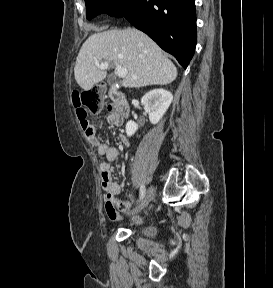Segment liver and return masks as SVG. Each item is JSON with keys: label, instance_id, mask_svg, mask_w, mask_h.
Segmentation results:
<instances>
[{"label": "liver", "instance_id": "6515ba94", "mask_svg": "<svg viewBox=\"0 0 273 288\" xmlns=\"http://www.w3.org/2000/svg\"><path fill=\"white\" fill-rule=\"evenodd\" d=\"M103 60L127 70L122 81L126 88L166 85L177 77L175 65L160 47L134 28L97 32L84 42L74 67L75 79L82 89L89 91L106 78L107 71L96 66Z\"/></svg>", "mask_w": 273, "mask_h": 288}]
</instances>
